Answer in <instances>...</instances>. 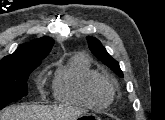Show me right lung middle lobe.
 <instances>
[{"label": "right lung middle lobe", "instance_id": "dd1d6c3e", "mask_svg": "<svg viewBox=\"0 0 165 120\" xmlns=\"http://www.w3.org/2000/svg\"><path fill=\"white\" fill-rule=\"evenodd\" d=\"M41 60L0 64V109L27 95V80Z\"/></svg>", "mask_w": 165, "mask_h": 120}]
</instances>
